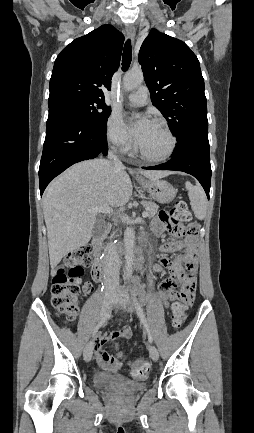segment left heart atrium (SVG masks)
<instances>
[{"instance_id":"left-heart-atrium-1","label":"left heart atrium","mask_w":254,"mask_h":433,"mask_svg":"<svg viewBox=\"0 0 254 433\" xmlns=\"http://www.w3.org/2000/svg\"><path fill=\"white\" fill-rule=\"evenodd\" d=\"M151 123L152 121L148 117L143 116L132 124L131 133L133 134L137 142H139L143 138Z\"/></svg>"}]
</instances>
